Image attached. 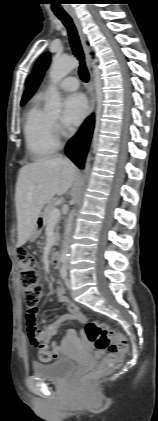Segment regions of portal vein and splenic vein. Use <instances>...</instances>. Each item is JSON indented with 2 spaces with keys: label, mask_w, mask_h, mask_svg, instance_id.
I'll list each match as a JSON object with an SVG mask.
<instances>
[{
  "label": "portal vein and splenic vein",
  "mask_w": 158,
  "mask_h": 421,
  "mask_svg": "<svg viewBox=\"0 0 158 421\" xmlns=\"http://www.w3.org/2000/svg\"><path fill=\"white\" fill-rule=\"evenodd\" d=\"M60 218V211L58 208H54L50 213V220H57Z\"/></svg>",
  "instance_id": "obj_1"
}]
</instances>
